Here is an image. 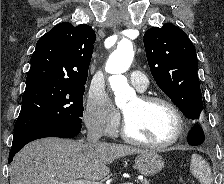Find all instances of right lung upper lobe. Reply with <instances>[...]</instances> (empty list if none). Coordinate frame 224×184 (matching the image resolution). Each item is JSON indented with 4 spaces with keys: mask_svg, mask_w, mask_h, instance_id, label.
Wrapping results in <instances>:
<instances>
[{
    "mask_svg": "<svg viewBox=\"0 0 224 184\" xmlns=\"http://www.w3.org/2000/svg\"><path fill=\"white\" fill-rule=\"evenodd\" d=\"M95 40L89 25L59 23L38 40L26 83L86 82Z\"/></svg>",
    "mask_w": 224,
    "mask_h": 184,
    "instance_id": "right-lung-upper-lobe-1",
    "label": "right lung upper lobe"
}]
</instances>
